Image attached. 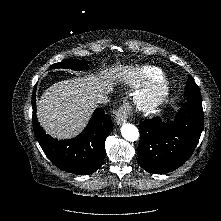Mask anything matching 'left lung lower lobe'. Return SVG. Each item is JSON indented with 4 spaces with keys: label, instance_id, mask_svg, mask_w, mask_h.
Instances as JSON below:
<instances>
[{
    "label": "left lung lower lobe",
    "instance_id": "left-lung-lower-lobe-1",
    "mask_svg": "<svg viewBox=\"0 0 221 221\" xmlns=\"http://www.w3.org/2000/svg\"><path fill=\"white\" fill-rule=\"evenodd\" d=\"M204 124L202 102L181 104L175 120L164 123L159 117L139 124V164L150 173H168L181 165L196 148Z\"/></svg>",
    "mask_w": 221,
    "mask_h": 221
}]
</instances>
